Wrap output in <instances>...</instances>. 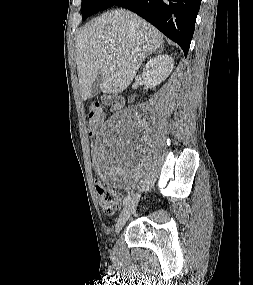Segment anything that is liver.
<instances>
[{
  "label": "liver",
  "mask_w": 253,
  "mask_h": 285,
  "mask_svg": "<svg viewBox=\"0 0 253 285\" xmlns=\"http://www.w3.org/2000/svg\"><path fill=\"white\" fill-rule=\"evenodd\" d=\"M163 43V34L158 29L130 11L117 9L97 17L80 32L76 44L83 100L90 97L99 74L103 93L123 92L146 56Z\"/></svg>",
  "instance_id": "1"
}]
</instances>
